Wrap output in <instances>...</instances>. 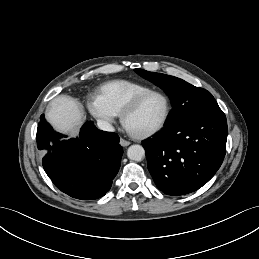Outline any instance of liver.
<instances>
[{"label": "liver", "mask_w": 259, "mask_h": 259, "mask_svg": "<svg viewBox=\"0 0 259 259\" xmlns=\"http://www.w3.org/2000/svg\"><path fill=\"white\" fill-rule=\"evenodd\" d=\"M46 119L59 132L77 135L84 122V114L75 100L66 95L54 98L46 111Z\"/></svg>", "instance_id": "obj_1"}]
</instances>
